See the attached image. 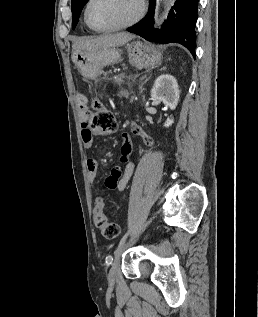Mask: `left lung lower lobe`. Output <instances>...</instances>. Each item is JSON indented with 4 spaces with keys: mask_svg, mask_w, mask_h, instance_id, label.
<instances>
[{
    "mask_svg": "<svg viewBox=\"0 0 258 317\" xmlns=\"http://www.w3.org/2000/svg\"><path fill=\"white\" fill-rule=\"evenodd\" d=\"M150 2L146 17L128 31L151 42L182 44L195 57V26L199 0H177L162 28L155 30L153 29L155 1L150 0Z\"/></svg>",
    "mask_w": 258,
    "mask_h": 317,
    "instance_id": "left-lung-lower-lobe-1",
    "label": "left lung lower lobe"
}]
</instances>
